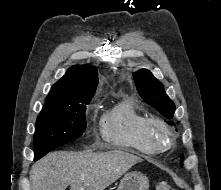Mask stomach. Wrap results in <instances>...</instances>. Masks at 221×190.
<instances>
[{
	"label": "stomach",
	"instance_id": "stomach-1",
	"mask_svg": "<svg viewBox=\"0 0 221 190\" xmlns=\"http://www.w3.org/2000/svg\"><path fill=\"white\" fill-rule=\"evenodd\" d=\"M149 180L141 172H131L126 174L120 181L117 190H148Z\"/></svg>",
	"mask_w": 221,
	"mask_h": 190
}]
</instances>
